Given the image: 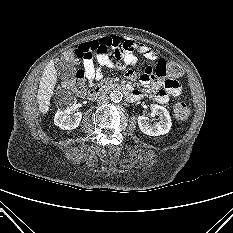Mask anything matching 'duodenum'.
Masks as SVG:
<instances>
[{
    "label": "duodenum",
    "instance_id": "duodenum-1",
    "mask_svg": "<svg viewBox=\"0 0 233 233\" xmlns=\"http://www.w3.org/2000/svg\"><path fill=\"white\" fill-rule=\"evenodd\" d=\"M108 89H111V90H118L120 92H122L125 97L129 100H134L136 98V94L134 91H131L127 88H125L124 86L122 85H112L110 86L109 88L107 87H104V86H97V87H94L92 88L89 92H88V97L90 99H96L98 96H100L101 94H103L105 91H107Z\"/></svg>",
    "mask_w": 233,
    "mask_h": 233
}]
</instances>
